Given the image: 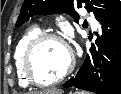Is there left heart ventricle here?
<instances>
[{
  "label": "left heart ventricle",
  "instance_id": "1",
  "mask_svg": "<svg viewBox=\"0 0 121 94\" xmlns=\"http://www.w3.org/2000/svg\"><path fill=\"white\" fill-rule=\"evenodd\" d=\"M69 61L65 47L57 41L42 42L35 50L31 68L37 80L49 82L58 77Z\"/></svg>",
  "mask_w": 121,
  "mask_h": 94
}]
</instances>
